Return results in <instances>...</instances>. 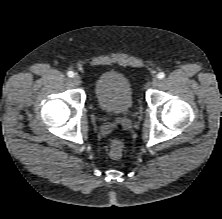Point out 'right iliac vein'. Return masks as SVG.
Listing matches in <instances>:
<instances>
[{"label": "right iliac vein", "mask_w": 222, "mask_h": 219, "mask_svg": "<svg viewBox=\"0 0 222 219\" xmlns=\"http://www.w3.org/2000/svg\"><path fill=\"white\" fill-rule=\"evenodd\" d=\"M72 82L74 85H80L81 84V78L80 76L76 75L73 77Z\"/></svg>", "instance_id": "1"}]
</instances>
